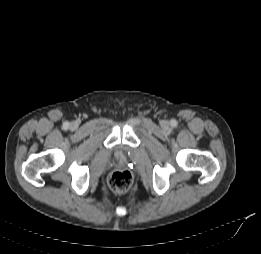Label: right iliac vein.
I'll return each instance as SVG.
<instances>
[{
  "label": "right iliac vein",
  "mask_w": 261,
  "mask_h": 254,
  "mask_svg": "<svg viewBox=\"0 0 261 254\" xmlns=\"http://www.w3.org/2000/svg\"><path fill=\"white\" fill-rule=\"evenodd\" d=\"M77 127H78V124H77L76 122H72V123L70 124V129H71V130H75V129H77Z\"/></svg>",
  "instance_id": "right-iliac-vein-1"
}]
</instances>
